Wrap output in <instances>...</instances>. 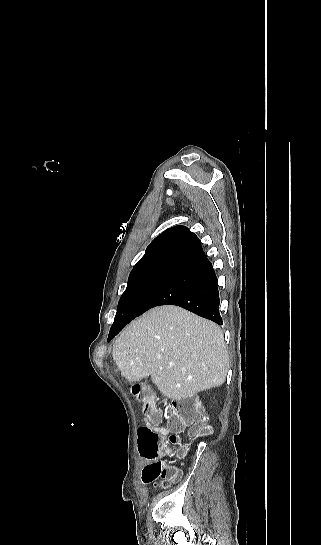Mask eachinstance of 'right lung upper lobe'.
Masks as SVG:
<instances>
[{
    "mask_svg": "<svg viewBox=\"0 0 321 545\" xmlns=\"http://www.w3.org/2000/svg\"><path fill=\"white\" fill-rule=\"evenodd\" d=\"M203 251L200 240L185 226L167 229L147 247L133 270L166 266L179 268Z\"/></svg>",
    "mask_w": 321,
    "mask_h": 545,
    "instance_id": "cb5924a9",
    "label": "right lung upper lobe"
}]
</instances>
